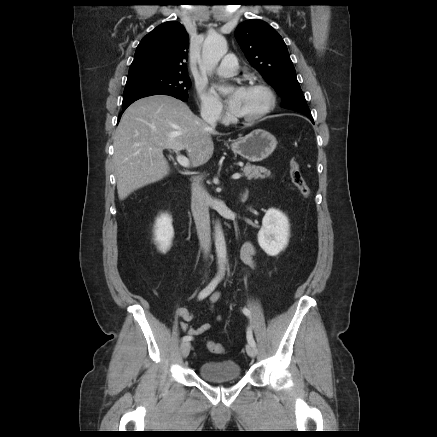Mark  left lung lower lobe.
I'll use <instances>...</instances> for the list:
<instances>
[{
  "label": "left lung lower lobe",
  "mask_w": 437,
  "mask_h": 437,
  "mask_svg": "<svg viewBox=\"0 0 437 437\" xmlns=\"http://www.w3.org/2000/svg\"><path fill=\"white\" fill-rule=\"evenodd\" d=\"M307 116H308V117L311 119V121L314 123L312 116H309V115H307Z\"/></svg>",
  "instance_id": "obj_1"
}]
</instances>
